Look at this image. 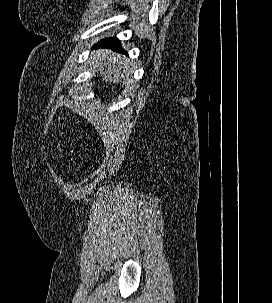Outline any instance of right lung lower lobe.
I'll use <instances>...</instances> for the list:
<instances>
[{
    "label": "right lung lower lobe",
    "mask_w": 272,
    "mask_h": 303,
    "mask_svg": "<svg viewBox=\"0 0 272 303\" xmlns=\"http://www.w3.org/2000/svg\"><path fill=\"white\" fill-rule=\"evenodd\" d=\"M96 48H111L115 51H119L122 53H126L122 48L120 41L116 37L107 38L105 40L100 41L98 44L95 45Z\"/></svg>",
    "instance_id": "1"
}]
</instances>
